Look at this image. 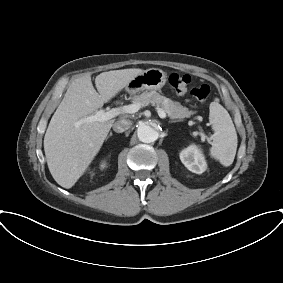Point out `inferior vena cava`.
Wrapping results in <instances>:
<instances>
[{
    "mask_svg": "<svg viewBox=\"0 0 283 283\" xmlns=\"http://www.w3.org/2000/svg\"><path fill=\"white\" fill-rule=\"evenodd\" d=\"M132 125V122L127 119H120L113 124V130L116 133H122L128 130Z\"/></svg>",
    "mask_w": 283,
    "mask_h": 283,
    "instance_id": "obj_1",
    "label": "inferior vena cava"
}]
</instances>
